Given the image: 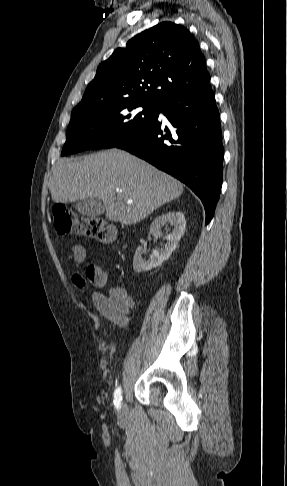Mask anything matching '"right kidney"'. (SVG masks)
Here are the masks:
<instances>
[{
    "label": "right kidney",
    "mask_w": 287,
    "mask_h": 486,
    "mask_svg": "<svg viewBox=\"0 0 287 486\" xmlns=\"http://www.w3.org/2000/svg\"><path fill=\"white\" fill-rule=\"evenodd\" d=\"M163 225L174 226L173 231L165 238L167 241L166 244L163 248L154 250L149 260L142 258V254L146 249L145 246L138 247L133 258V269L135 272L140 273L149 271L152 268L160 266L170 257L186 228L184 214L180 211H173L158 216L150 226L149 235L160 233Z\"/></svg>",
    "instance_id": "right-kidney-1"
}]
</instances>
